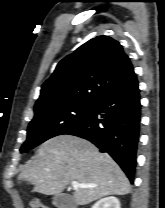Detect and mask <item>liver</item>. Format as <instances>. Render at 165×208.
Returning a JSON list of instances; mask_svg holds the SVG:
<instances>
[{
  "label": "liver",
  "mask_w": 165,
  "mask_h": 208,
  "mask_svg": "<svg viewBox=\"0 0 165 208\" xmlns=\"http://www.w3.org/2000/svg\"><path fill=\"white\" fill-rule=\"evenodd\" d=\"M18 180L27 181L34 185V191L45 195H59L73 181L96 185L75 189L73 199L77 205H87L108 195H126L131 190L128 178L107 153L72 135L44 142Z\"/></svg>",
  "instance_id": "obj_1"
}]
</instances>
